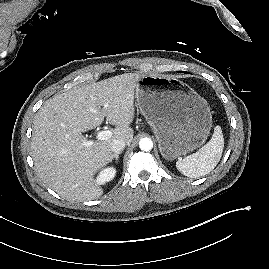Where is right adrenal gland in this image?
<instances>
[{
	"label": "right adrenal gland",
	"mask_w": 269,
	"mask_h": 269,
	"mask_svg": "<svg viewBox=\"0 0 269 269\" xmlns=\"http://www.w3.org/2000/svg\"><path fill=\"white\" fill-rule=\"evenodd\" d=\"M122 153V151H120V152H117V153H115L114 155H113V157H112V160H116V162H118L119 161V154H121ZM111 160V161H112Z\"/></svg>",
	"instance_id": "right-adrenal-gland-1"
}]
</instances>
